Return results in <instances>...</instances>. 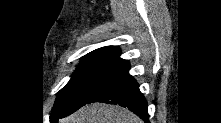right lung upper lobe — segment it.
<instances>
[{
    "instance_id": "cb5924a9",
    "label": "right lung upper lobe",
    "mask_w": 221,
    "mask_h": 123,
    "mask_svg": "<svg viewBox=\"0 0 221 123\" xmlns=\"http://www.w3.org/2000/svg\"><path fill=\"white\" fill-rule=\"evenodd\" d=\"M94 51H103V52H111V53H115V54H120V49L117 46L102 47V48L96 49Z\"/></svg>"
}]
</instances>
